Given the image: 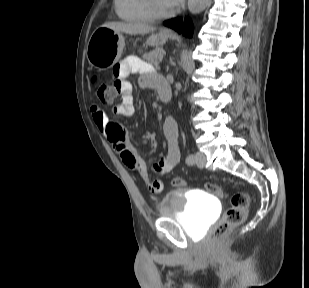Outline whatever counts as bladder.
I'll list each match as a JSON object with an SVG mask.
<instances>
[{"label": "bladder", "instance_id": "1", "mask_svg": "<svg viewBox=\"0 0 309 288\" xmlns=\"http://www.w3.org/2000/svg\"><path fill=\"white\" fill-rule=\"evenodd\" d=\"M212 193L174 190L167 192L159 202L161 218H175L188 232L201 233L213 221L219 203Z\"/></svg>", "mask_w": 309, "mask_h": 288}]
</instances>
